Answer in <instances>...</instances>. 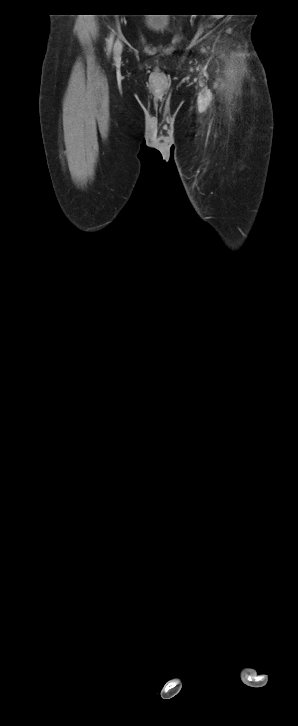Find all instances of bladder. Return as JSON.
<instances>
[{
  "label": "bladder",
  "instance_id": "31cf9c89",
  "mask_svg": "<svg viewBox=\"0 0 298 726\" xmlns=\"http://www.w3.org/2000/svg\"><path fill=\"white\" fill-rule=\"evenodd\" d=\"M170 23V20L168 18L164 17H156V18H150L145 21V26L149 30L152 31H164Z\"/></svg>",
  "mask_w": 298,
  "mask_h": 726
}]
</instances>
